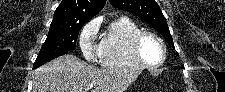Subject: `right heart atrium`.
I'll list each match as a JSON object with an SVG mask.
<instances>
[{
  "mask_svg": "<svg viewBox=\"0 0 225 92\" xmlns=\"http://www.w3.org/2000/svg\"><path fill=\"white\" fill-rule=\"evenodd\" d=\"M99 24L91 20L83 26L79 34V46L84 58L91 63L100 59V42L98 40Z\"/></svg>",
  "mask_w": 225,
  "mask_h": 92,
  "instance_id": "1",
  "label": "right heart atrium"
}]
</instances>
